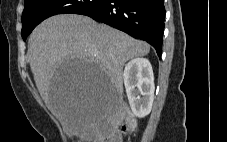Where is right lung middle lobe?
<instances>
[{
  "mask_svg": "<svg viewBox=\"0 0 227 142\" xmlns=\"http://www.w3.org/2000/svg\"><path fill=\"white\" fill-rule=\"evenodd\" d=\"M105 0H28L22 13V38L25 41L32 30L43 20L57 14H78L97 7Z\"/></svg>",
  "mask_w": 227,
  "mask_h": 142,
  "instance_id": "1",
  "label": "right lung middle lobe"
}]
</instances>
